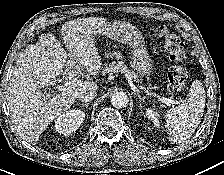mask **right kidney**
<instances>
[{"mask_svg":"<svg viewBox=\"0 0 224 175\" xmlns=\"http://www.w3.org/2000/svg\"><path fill=\"white\" fill-rule=\"evenodd\" d=\"M84 118L85 113L81 110L66 111L55 120V131L69 136L80 127Z\"/></svg>","mask_w":224,"mask_h":175,"instance_id":"ca27d5eb","label":"right kidney"}]
</instances>
